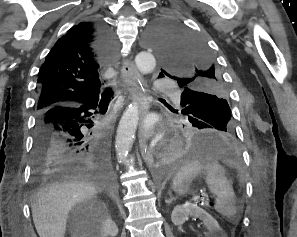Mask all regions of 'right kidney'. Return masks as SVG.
Instances as JSON below:
<instances>
[{
  "mask_svg": "<svg viewBox=\"0 0 297 237\" xmlns=\"http://www.w3.org/2000/svg\"><path fill=\"white\" fill-rule=\"evenodd\" d=\"M92 234L97 237H115L118 234V227L111 218L106 217L94 224L92 230L84 233L82 237H92Z\"/></svg>",
  "mask_w": 297,
  "mask_h": 237,
  "instance_id": "right-kidney-1",
  "label": "right kidney"
}]
</instances>
